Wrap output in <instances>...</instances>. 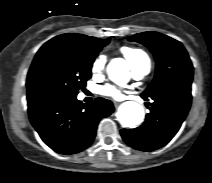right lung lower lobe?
Wrapping results in <instances>:
<instances>
[{
	"label": "right lung lower lobe",
	"mask_w": 212,
	"mask_h": 183,
	"mask_svg": "<svg viewBox=\"0 0 212 183\" xmlns=\"http://www.w3.org/2000/svg\"><path fill=\"white\" fill-rule=\"evenodd\" d=\"M30 121L42 140L54 151L71 155L89 147L99 121L113 110L111 101L96 98L82 105L76 95L38 92L27 95Z\"/></svg>",
	"instance_id": "obj_1"
}]
</instances>
